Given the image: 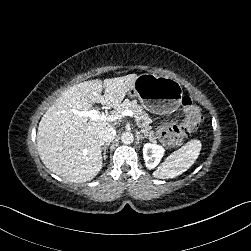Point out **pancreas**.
Returning a JSON list of instances; mask_svg holds the SVG:
<instances>
[{
  "label": "pancreas",
  "instance_id": "cf45deb5",
  "mask_svg": "<svg viewBox=\"0 0 251 251\" xmlns=\"http://www.w3.org/2000/svg\"><path fill=\"white\" fill-rule=\"evenodd\" d=\"M118 111H123L125 109L131 110L134 113L137 125L142 128V133L150 142H156L154 132L151 130V119L149 115L143 110V107L140 106L136 100H124L123 102L118 103L115 107Z\"/></svg>",
  "mask_w": 251,
  "mask_h": 251
}]
</instances>
